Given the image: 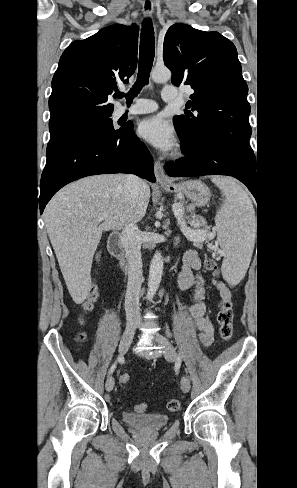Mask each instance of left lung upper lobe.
I'll return each instance as SVG.
<instances>
[{"label": "left lung upper lobe", "instance_id": "left-lung-upper-lobe-1", "mask_svg": "<svg viewBox=\"0 0 297 488\" xmlns=\"http://www.w3.org/2000/svg\"><path fill=\"white\" fill-rule=\"evenodd\" d=\"M163 60L172 83L194 89L185 115L173 119L184 149L216 142L253 152L248 116V86L234 44L218 32L189 25L171 26L164 39Z\"/></svg>", "mask_w": 297, "mask_h": 488}]
</instances>
